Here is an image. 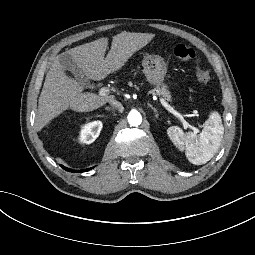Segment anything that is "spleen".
<instances>
[{
	"mask_svg": "<svg viewBox=\"0 0 255 255\" xmlns=\"http://www.w3.org/2000/svg\"><path fill=\"white\" fill-rule=\"evenodd\" d=\"M211 123L199 137L194 134L190 135V143L187 148L186 155L189 161L195 165L207 163L218 151L221 144L224 127L221 124V117L217 112L210 115ZM168 134L174 144L184 141V133L177 126L168 128Z\"/></svg>",
	"mask_w": 255,
	"mask_h": 255,
	"instance_id": "obj_1",
	"label": "spleen"
}]
</instances>
